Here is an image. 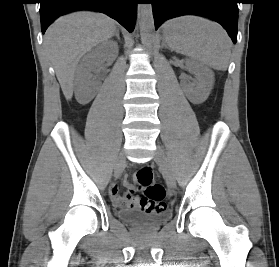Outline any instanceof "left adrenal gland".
Returning <instances> with one entry per match:
<instances>
[{
  "label": "left adrenal gland",
  "mask_w": 279,
  "mask_h": 267,
  "mask_svg": "<svg viewBox=\"0 0 279 267\" xmlns=\"http://www.w3.org/2000/svg\"><path fill=\"white\" fill-rule=\"evenodd\" d=\"M164 46H165V48H168V46H167V45H165V44H164Z\"/></svg>",
  "instance_id": "a2214340"
}]
</instances>
